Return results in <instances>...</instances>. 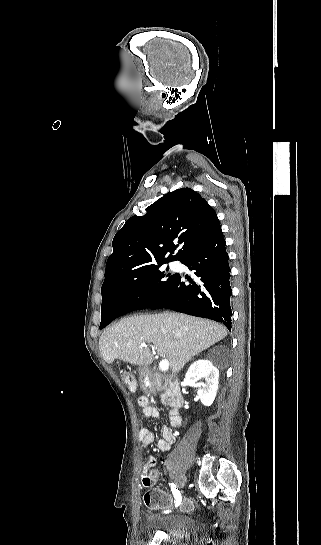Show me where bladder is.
I'll list each match as a JSON object with an SVG mask.
<instances>
[{
	"label": "bladder",
	"instance_id": "bladder-1",
	"mask_svg": "<svg viewBox=\"0 0 321 545\" xmlns=\"http://www.w3.org/2000/svg\"><path fill=\"white\" fill-rule=\"evenodd\" d=\"M145 519L148 527L163 532L175 541L187 539L193 527L192 518L179 509L174 511L150 510Z\"/></svg>",
	"mask_w": 321,
	"mask_h": 545
}]
</instances>
